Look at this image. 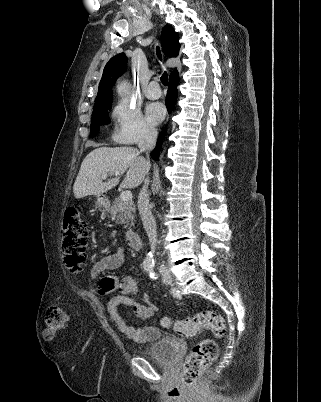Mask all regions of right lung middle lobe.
<instances>
[{
	"instance_id": "dd1d6c3e",
	"label": "right lung middle lobe",
	"mask_w": 321,
	"mask_h": 402,
	"mask_svg": "<svg viewBox=\"0 0 321 402\" xmlns=\"http://www.w3.org/2000/svg\"><path fill=\"white\" fill-rule=\"evenodd\" d=\"M111 106L112 103L93 109L90 137H94L98 133L102 124L109 123L108 110L111 109Z\"/></svg>"
}]
</instances>
